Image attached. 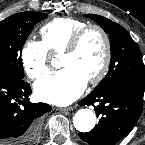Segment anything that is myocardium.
I'll return each mask as SVG.
<instances>
[{
  "label": "myocardium",
  "instance_id": "myocardium-1",
  "mask_svg": "<svg viewBox=\"0 0 145 145\" xmlns=\"http://www.w3.org/2000/svg\"><path fill=\"white\" fill-rule=\"evenodd\" d=\"M90 31H96L97 33H99L104 43V58L102 65L98 73L88 80V83L96 85L100 83L107 75L112 60V46L109 35L100 25L87 24L82 28H80L78 31H76L74 35L71 37L66 47L64 48V50L60 53V56L75 52L78 49L82 39Z\"/></svg>",
  "mask_w": 145,
  "mask_h": 145
}]
</instances>
